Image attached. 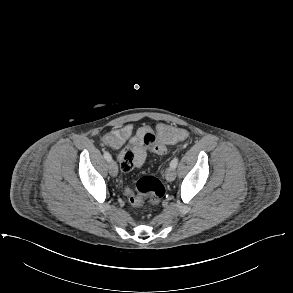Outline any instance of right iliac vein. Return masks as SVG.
Masks as SVG:
<instances>
[{"label":"right iliac vein","mask_w":293,"mask_h":293,"mask_svg":"<svg viewBox=\"0 0 293 293\" xmlns=\"http://www.w3.org/2000/svg\"><path fill=\"white\" fill-rule=\"evenodd\" d=\"M109 173L111 176L115 177L118 174V166L115 161L111 160L108 164Z\"/></svg>","instance_id":"1"}]
</instances>
